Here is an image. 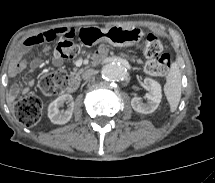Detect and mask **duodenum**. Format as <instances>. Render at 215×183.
<instances>
[{
  "label": "duodenum",
  "mask_w": 215,
  "mask_h": 183,
  "mask_svg": "<svg viewBox=\"0 0 215 183\" xmlns=\"http://www.w3.org/2000/svg\"><path fill=\"white\" fill-rule=\"evenodd\" d=\"M79 86V80L77 78H73L70 80L69 85L67 86V92H74Z\"/></svg>",
  "instance_id": "duodenum-1"
}]
</instances>
